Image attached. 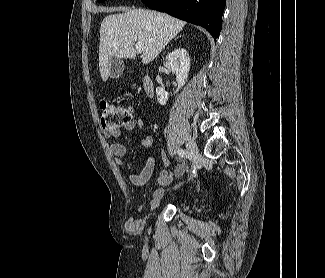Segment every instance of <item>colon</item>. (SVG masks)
<instances>
[{
  "label": "colon",
  "instance_id": "1",
  "mask_svg": "<svg viewBox=\"0 0 325 278\" xmlns=\"http://www.w3.org/2000/svg\"><path fill=\"white\" fill-rule=\"evenodd\" d=\"M101 124L104 130H115L132 119V111L128 106L101 101Z\"/></svg>",
  "mask_w": 325,
  "mask_h": 278
}]
</instances>
